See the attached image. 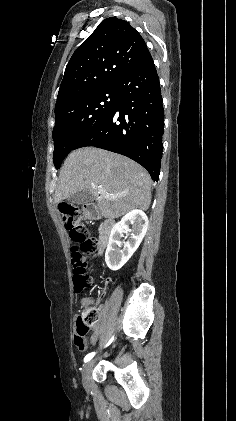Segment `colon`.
Instances as JSON below:
<instances>
[{
    "label": "colon",
    "mask_w": 236,
    "mask_h": 421,
    "mask_svg": "<svg viewBox=\"0 0 236 421\" xmlns=\"http://www.w3.org/2000/svg\"><path fill=\"white\" fill-rule=\"evenodd\" d=\"M65 227L74 245L71 248V263L74 268L73 283L78 294L92 287V279L87 273L86 255L95 251V241L90 237L88 228L83 223V213L75 207L63 209ZM99 318L98 309L91 303H85L77 315L74 344L80 351L86 349V335Z\"/></svg>",
    "instance_id": "1"
}]
</instances>
